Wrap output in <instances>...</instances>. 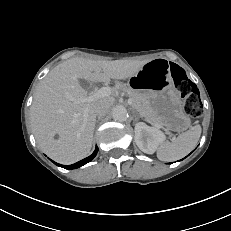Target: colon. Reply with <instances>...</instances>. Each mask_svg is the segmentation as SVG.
Here are the masks:
<instances>
[{
  "mask_svg": "<svg viewBox=\"0 0 231 231\" xmlns=\"http://www.w3.org/2000/svg\"><path fill=\"white\" fill-rule=\"evenodd\" d=\"M173 77L179 93L185 97L184 111L192 117H199L203 112L202 103L198 90L194 83L190 81L185 71L177 65H172Z\"/></svg>",
  "mask_w": 231,
  "mask_h": 231,
  "instance_id": "colon-1",
  "label": "colon"
}]
</instances>
